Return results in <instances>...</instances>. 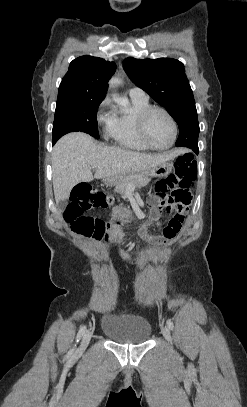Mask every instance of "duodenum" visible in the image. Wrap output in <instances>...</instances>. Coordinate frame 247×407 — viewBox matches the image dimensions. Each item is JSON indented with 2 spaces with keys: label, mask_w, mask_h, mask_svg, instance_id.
I'll use <instances>...</instances> for the list:
<instances>
[{
  "label": "duodenum",
  "mask_w": 247,
  "mask_h": 407,
  "mask_svg": "<svg viewBox=\"0 0 247 407\" xmlns=\"http://www.w3.org/2000/svg\"><path fill=\"white\" fill-rule=\"evenodd\" d=\"M117 217V218H116ZM127 217V218H126ZM119 220V221H118ZM128 221L129 220V214L126 212H119L115 215L114 217V222H122V221Z\"/></svg>",
  "instance_id": "obj_1"
}]
</instances>
